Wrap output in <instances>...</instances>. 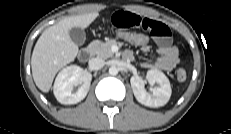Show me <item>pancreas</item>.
I'll list each match as a JSON object with an SVG mask.
<instances>
[{"mask_svg": "<svg viewBox=\"0 0 231 134\" xmlns=\"http://www.w3.org/2000/svg\"><path fill=\"white\" fill-rule=\"evenodd\" d=\"M117 45V41L114 39L108 40L106 42H101L95 40L90 44V50L93 54L101 58H110L113 57L114 53L111 50V47Z\"/></svg>", "mask_w": 231, "mask_h": 134, "instance_id": "1", "label": "pancreas"}]
</instances>
